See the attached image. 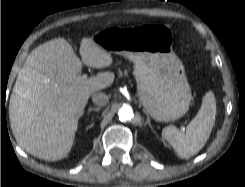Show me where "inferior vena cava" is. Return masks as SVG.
<instances>
[{
    "mask_svg": "<svg viewBox=\"0 0 245 187\" xmlns=\"http://www.w3.org/2000/svg\"><path fill=\"white\" fill-rule=\"evenodd\" d=\"M92 101L97 106H105L109 101V97L105 93L99 92L92 95Z\"/></svg>",
    "mask_w": 245,
    "mask_h": 187,
    "instance_id": "1",
    "label": "inferior vena cava"
}]
</instances>
